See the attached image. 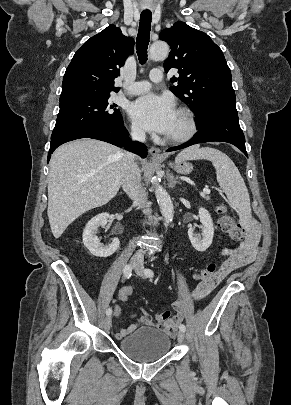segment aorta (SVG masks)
<instances>
[{
	"label": "aorta",
	"mask_w": 291,
	"mask_h": 405,
	"mask_svg": "<svg viewBox=\"0 0 291 405\" xmlns=\"http://www.w3.org/2000/svg\"><path fill=\"white\" fill-rule=\"evenodd\" d=\"M169 54V46L164 41L154 42L150 47L149 57L153 61L165 59ZM155 196L160 207L161 213L167 224L172 222L174 216V207L168 192L157 182H153Z\"/></svg>",
	"instance_id": "762f6f07"
}]
</instances>
